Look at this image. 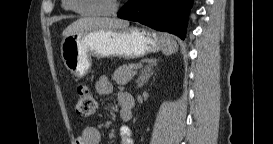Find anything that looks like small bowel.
<instances>
[{"instance_id":"obj_1","label":"small bowel","mask_w":273,"mask_h":144,"mask_svg":"<svg viewBox=\"0 0 273 144\" xmlns=\"http://www.w3.org/2000/svg\"><path fill=\"white\" fill-rule=\"evenodd\" d=\"M96 90L101 95H107L112 92V84L108 76H100L96 81ZM122 94L118 95V101ZM121 117L124 116V109L121 107ZM124 119V118H123ZM122 144H133L131 137L132 131L128 126H123L120 131ZM101 140L100 132L95 127H86L81 135L75 139L74 144H99Z\"/></svg>"}]
</instances>
